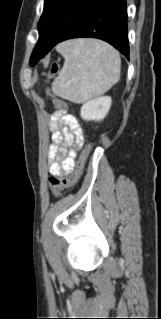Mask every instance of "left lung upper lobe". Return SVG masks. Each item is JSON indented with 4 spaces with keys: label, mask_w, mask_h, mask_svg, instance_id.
Returning <instances> with one entry per match:
<instances>
[{
    "label": "left lung upper lobe",
    "mask_w": 161,
    "mask_h": 319,
    "mask_svg": "<svg viewBox=\"0 0 161 319\" xmlns=\"http://www.w3.org/2000/svg\"><path fill=\"white\" fill-rule=\"evenodd\" d=\"M99 0H45L38 22L39 40L31 55L35 65L61 37Z\"/></svg>",
    "instance_id": "1"
}]
</instances>
